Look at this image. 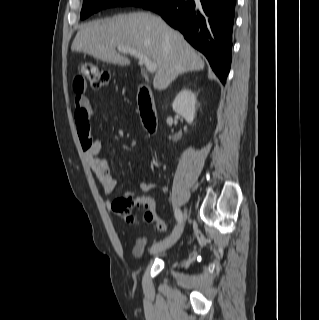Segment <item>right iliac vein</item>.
Wrapping results in <instances>:
<instances>
[{"instance_id": "1", "label": "right iliac vein", "mask_w": 319, "mask_h": 320, "mask_svg": "<svg viewBox=\"0 0 319 320\" xmlns=\"http://www.w3.org/2000/svg\"><path fill=\"white\" fill-rule=\"evenodd\" d=\"M185 217H186V212H185L184 218ZM182 230H183V223L175 227L173 232L164 240L154 244L151 248V252L155 254L170 248L172 245H174L177 242V240L179 239L182 233Z\"/></svg>"}]
</instances>
